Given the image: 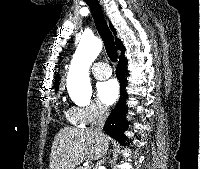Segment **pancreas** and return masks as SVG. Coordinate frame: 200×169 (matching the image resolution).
<instances>
[{"mask_svg": "<svg viewBox=\"0 0 200 169\" xmlns=\"http://www.w3.org/2000/svg\"><path fill=\"white\" fill-rule=\"evenodd\" d=\"M77 169H87V168L79 167V168H77Z\"/></svg>", "mask_w": 200, "mask_h": 169, "instance_id": "cf45deb5", "label": "pancreas"}]
</instances>
